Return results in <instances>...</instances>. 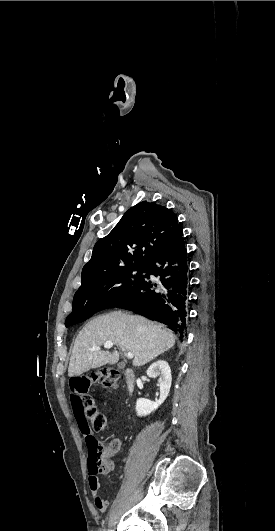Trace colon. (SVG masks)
<instances>
[{"instance_id":"obj_1","label":"colon","mask_w":275,"mask_h":531,"mask_svg":"<svg viewBox=\"0 0 275 531\" xmlns=\"http://www.w3.org/2000/svg\"><path fill=\"white\" fill-rule=\"evenodd\" d=\"M89 376H84L81 379L75 378L72 381V386L74 389H81V394L84 395L85 404L84 408V420L86 422L92 421L93 429L100 433V428H105V432L108 429V418L107 416L99 411L96 407L93 408L92 402L95 400L94 395L92 394V380L93 382H98L105 387L115 386L119 382V376L109 370L102 368L98 372H92ZM119 447V442L113 440L107 442L103 447L104 458L101 460L97 470L105 469V472H109L110 468L114 465L113 456L117 453Z\"/></svg>"}]
</instances>
